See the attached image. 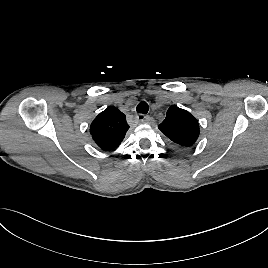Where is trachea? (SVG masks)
<instances>
[{
    "label": "trachea",
    "mask_w": 268,
    "mask_h": 268,
    "mask_svg": "<svg viewBox=\"0 0 268 268\" xmlns=\"http://www.w3.org/2000/svg\"><path fill=\"white\" fill-rule=\"evenodd\" d=\"M136 110L138 113L146 114L148 112V104L145 101H141L137 105Z\"/></svg>",
    "instance_id": "1"
}]
</instances>
